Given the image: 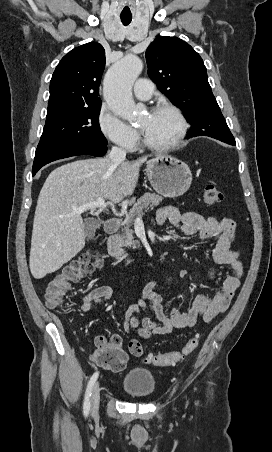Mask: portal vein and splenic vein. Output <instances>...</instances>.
Instances as JSON below:
<instances>
[{
  "mask_svg": "<svg viewBox=\"0 0 272 452\" xmlns=\"http://www.w3.org/2000/svg\"><path fill=\"white\" fill-rule=\"evenodd\" d=\"M106 207V203L103 197H99L96 201L89 202L81 207L75 208L74 210L78 213H83L87 210H94V209H103Z\"/></svg>",
  "mask_w": 272,
  "mask_h": 452,
  "instance_id": "obj_1",
  "label": "portal vein and splenic vein"
}]
</instances>
